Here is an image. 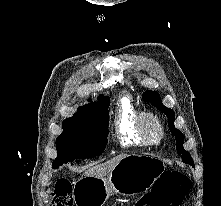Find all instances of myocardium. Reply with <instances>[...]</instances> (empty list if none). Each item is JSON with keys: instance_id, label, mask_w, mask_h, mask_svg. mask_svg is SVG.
<instances>
[{"instance_id": "f54148a6", "label": "myocardium", "mask_w": 221, "mask_h": 206, "mask_svg": "<svg viewBox=\"0 0 221 206\" xmlns=\"http://www.w3.org/2000/svg\"><path fill=\"white\" fill-rule=\"evenodd\" d=\"M151 124L155 125L159 131V135L156 140L151 138L149 131H148V127ZM137 127H138V131L140 135L142 136L146 144L152 145V146H158L163 142L164 137H165L164 126L161 120L153 113L140 112L137 117Z\"/></svg>"}]
</instances>
